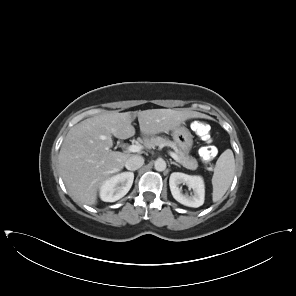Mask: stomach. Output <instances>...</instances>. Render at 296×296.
<instances>
[{
	"label": "stomach",
	"mask_w": 296,
	"mask_h": 296,
	"mask_svg": "<svg viewBox=\"0 0 296 296\" xmlns=\"http://www.w3.org/2000/svg\"><path fill=\"white\" fill-rule=\"evenodd\" d=\"M172 136L177 147L183 152L189 153L193 145V137L190 131L182 126L172 130Z\"/></svg>",
	"instance_id": "obj_1"
}]
</instances>
